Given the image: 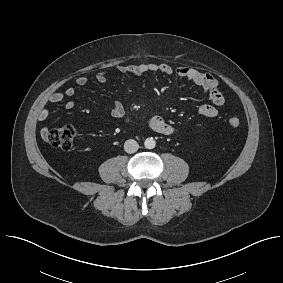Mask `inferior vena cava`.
I'll return each instance as SVG.
<instances>
[{"label": "inferior vena cava", "mask_w": 283, "mask_h": 283, "mask_svg": "<svg viewBox=\"0 0 283 283\" xmlns=\"http://www.w3.org/2000/svg\"><path fill=\"white\" fill-rule=\"evenodd\" d=\"M138 148V143L133 139H129L124 143V150L129 154L135 153Z\"/></svg>", "instance_id": "602c4592"}]
</instances>
